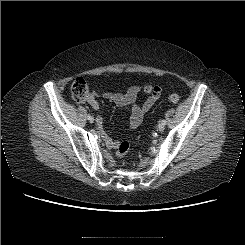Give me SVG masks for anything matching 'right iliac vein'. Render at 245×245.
<instances>
[{"instance_id": "right-iliac-vein-1", "label": "right iliac vein", "mask_w": 245, "mask_h": 245, "mask_svg": "<svg viewBox=\"0 0 245 245\" xmlns=\"http://www.w3.org/2000/svg\"><path fill=\"white\" fill-rule=\"evenodd\" d=\"M87 119L89 120V122L93 123L94 122V118L91 116V117H87Z\"/></svg>"}]
</instances>
